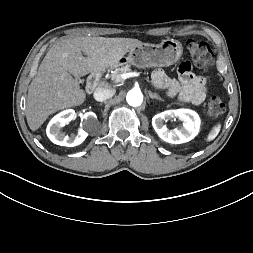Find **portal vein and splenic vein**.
I'll use <instances>...</instances> for the list:
<instances>
[{
  "label": "portal vein and splenic vein",
  "mask_w": 253,
  "mask_h": 253,
  "mask_svg": "<svg viewBox=\"0 0 253 253\" xmlns=\"http://www.w3.org/2000/svg\"><path fill=\"white\" fill-rule=\"evenodd\" d=\"M135 76H138V73L136 72L124 73L118 77L117 81L125 80L127 78L135 77Z\"/></svg>",
  "instance_id": "1"
}]
</instances>
